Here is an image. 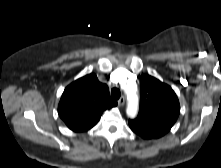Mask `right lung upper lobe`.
<instances>
[{"label":"right lung upper lobe","mask_w":221,"mask_h":168,"mask_svg":"<svg viewBox=\"0 0 221 168\" xmlns=\"http://www.w3.org/2000/svg\"><path fill=\"white\" fill-rule=\"evenodd\" d=\"M117 105L106 84L91 73L68 85L59 102L58 113L67 127L81 132L94 127L104 110Z\"/></svg>","instance_id":"1"}]
</instances>
